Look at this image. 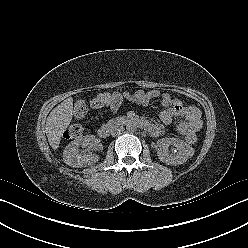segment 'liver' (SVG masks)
Masks as SVG:
<instances>
[{"instance_id": "1", "label": "liver", "mask_w": 248, "mask_h": 248, "mask_svg": "<svg viewBox=\"0 0 248 248\" xmlns=\"http://www.w3.org/2000/svg\"><path fill=\"white\" fill-rule=\"evenodd\" d=\"M73 99L68 98L56 106L49 114L46 121V135L53 149L59 147L63 132L72 120Z\"/></svg>"}]
</instances>
